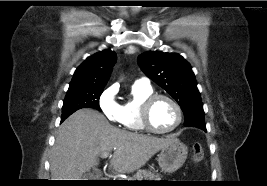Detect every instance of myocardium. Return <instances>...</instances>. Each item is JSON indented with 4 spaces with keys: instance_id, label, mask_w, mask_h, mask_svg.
<instances>
[{
    "instance_id": "1",
    "label": "myocardium",
    "mask_w": 267,
    "mask_h": 186,
    "mask_svg": "<svg viewBox=\"0 0 267 186\" xmlns=\"http://www.w3.org/2000/svg\"><path fill=\"white\" fill-rule=\"evenodd\" d=\"M159 99H165L169 101L174 106L176 113H177V119L174 125L164 130L155 128L150 118L152 106ZM140 120H141L143 127L147 131L156 133V134H168V133L174 132L181 125L182 120H183V112H182V109L179 103L171 96L166 95V94H161V93H152L149 96H147L141 104Z\"/></svg>"
}]
</instances>
